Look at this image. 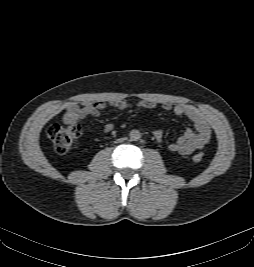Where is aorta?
<instances>
[{"mask_svg": "<svg viewBox=\"0 0 254 267\" xmlns=\"http://www.w3.org/2000/svg\"><path fill=\"white\" fill-rule=\"evenodd\" d=\"M129 137L131 141H138L141 138V133L138 130H132L129 133Z\"/></svg>", "mask_w": 254, "mask_h": 267, "instance_id": "aorta-1", "label": "aorta"}]
</instances>
